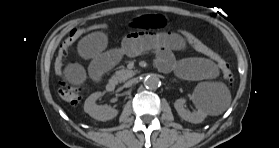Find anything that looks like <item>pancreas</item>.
Listing matches in <instances>:
<instances>
[{
	"label": "pancreas",
	"instance_id": "pancreas-1",
	"mask_svg": "<svg viewBox=\"0 0 279 148\" xmlns=\"http://www.w3.org/2000/svg\"><path fill=\"white\" fill-rule=\"evenodd\" d=\"M135 71L129 70L126 68H122L118 71L115 72V79L118 80L119 82H124L127 79L131 78L132 76L135 75Z\"/></svg>",
	"mask_w": 279,
	"mask_h": 148
}]
</instances>
